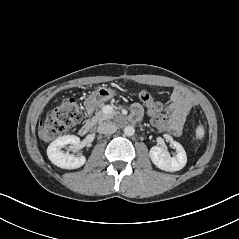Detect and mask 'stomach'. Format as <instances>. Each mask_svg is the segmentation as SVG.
<instances>
[{"mask_svg":"<svg viewBox=\"0 0 239 239\" xmlns=\"http://www.w3.org/2000/svg\"><path fill=\"white\" fill-rule=\"evenodd\" d=\"M114 96V90L107 87L98 88L92 92L85 102L87 111L91 112L94 109L101 107L106 101L110 100Z\"/></svg>","mask_w":239,"mask_h":239,"instance_id":"stomach-1","label":"stomach"}]
</instances>
